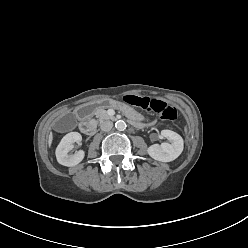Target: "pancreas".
Segmentation results:
<instances>
[{
  "mask_svg": "<svg viewBox=\"0 0 248 248\" xmlns=\"http://www.w3.org/2000/svg\"><path fill=\"white\" fill-rule=\"evenodd\" d=\"M95 115H96V117L100 123L105 121V120L112 119V117L107 114V111L105 110L104 107L98 108Z\"/></svg>",
  "mask_w": 248,
  "mask_h": 248,
  "instance_id": "cf45deb5",
  "label": "pancreas"
}]
</instances>
